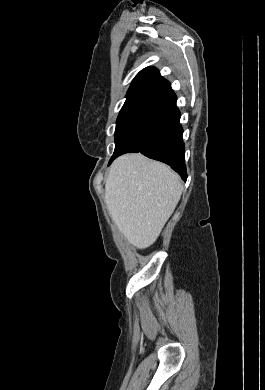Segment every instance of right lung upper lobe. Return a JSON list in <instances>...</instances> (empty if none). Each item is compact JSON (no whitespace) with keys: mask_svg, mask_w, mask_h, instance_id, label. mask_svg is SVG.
<instances>
[{"mask_svg":"<svg viewBox=\"0 0 265 390\" xmlns=\"http://www.w3.org/2000/svg\"><path fill=\"white\" fill-rule=\"evenodd\" d=\"M172 91L170 83L154 67L141 70L132 81L126 100L145 98L157 100Z\"/></svg>","mask_w":265,"mask_h":390,"instance_id":"1","label":"right lung upper lobe"}]
</instances>
